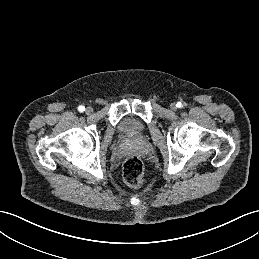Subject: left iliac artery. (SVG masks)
Here are the masks:
<instances>
[{"label":"left iliac artery","instance_id":"1","mask_svg":"<svg viewBox=\"0 0 259 259\" xmlns=\"http://www.w3.org/2000/svg\"><path fill=\"white\" fill-rule=\"evenodd\" d=\"M176 106H177L178 108H181L183 105H182L181 102H178V103L176 104Z\"/></svg>","mask_w":259,"mask_h":259}]
</instances>
